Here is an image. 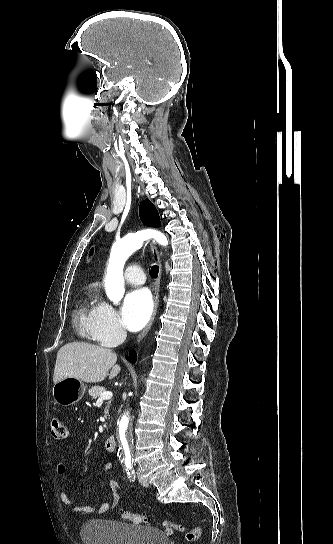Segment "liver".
I'll use <instances>...</instances> for the list:
<instances>
[{
  "mask_svg": "<svg viewBox=\"0 0 333 544\" xmlns=\"http://www.w3.org/2000/svg\"><path fill=\"white\" fill-rule=\"evenodd\" d=\"M117 355L108 348L84 342H71L61 347L57 353L53 382L73 377L87 383L103 381L116 377L121 368L116 364Z\"/></svg>",
  "mask_w": 333,
  "mask_h": 544,
  "instance_id": "liver-1",
  "label": "liver"
}]
</instances>
